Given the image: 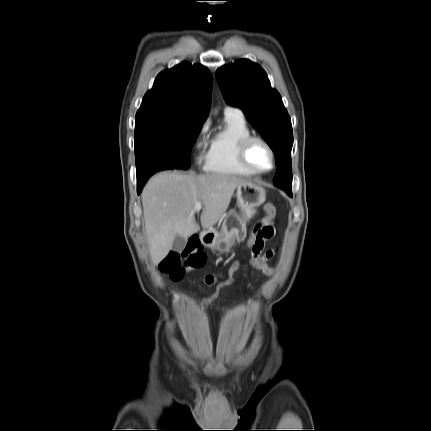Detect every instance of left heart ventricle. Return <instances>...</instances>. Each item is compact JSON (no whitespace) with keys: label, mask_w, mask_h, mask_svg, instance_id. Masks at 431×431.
<instances>
[{"label":"left heart ventricle","mask_w":431,"mask_h":431,"mask_svg":"<svg viewBox=\"0 0 431 431\" xmlns=\"http://www.w3.org/2000/svg\"><path fill=\"white\" fill-rule=\"evenodd\" d=\"M249 161L259 169H269L271 167V155L268 149L260 142H254L248 150Z\"/></svg>","instance_id":"obj_1"}]
</instances>
